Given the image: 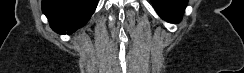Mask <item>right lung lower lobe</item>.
I'll use <instances>...</instances> for the list:
<instances>
[{"label": "right lung lower lobe", "mask_w": 244, "mask_h": 73, "mask_svg": "<svg viewBox=\"0 0 244 73\" xmlns=\"http://www.w3.org/2000/svg\"><path fill=\"white\" fill-rule=\"evenodd\" d=\"M97 3L98 0H42V11L55 32L71 34L88 22Z\"/></svg>", "instance_id": "98d812e1"}]
</instances>
